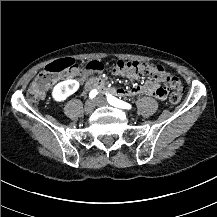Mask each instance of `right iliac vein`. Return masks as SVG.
Returning a JSON list of instances; mask_svg holds the SVG:
<instances>
[{"instance_id":"63e3f726","label":"right iliac vein","mask_w":217,"mask_h":217,"mask_svg":"<svg viewBox=\"0 0 217 217\" xmlns=\"http://www.w3.org/2000/svg\"><path fill=\"white\" fill-rule=\"evenodd\" d=\"M95 108V100L93 99H88L85 103V106H84V111L86 114H90L93 112Z\"/></svg>"}]
</instances>
